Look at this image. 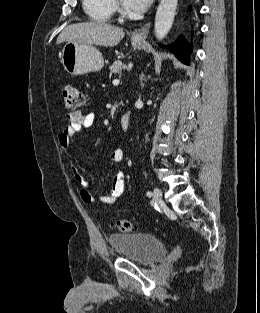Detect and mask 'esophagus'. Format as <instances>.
Wrapping results in <instances>:
<instances>
[{
  "instance_id": "34e87169",
  "label": "esophagus",
  "mask_w": 260,
  "mask_h": 313,
  "mask_svg": "<svg viewBox=\"0 0 260 313\" xmlns=\"http://www.w3.org/2000/svg\"><path fill=\"white\" fill-rule=\"evenodd\" d=\"M150 27L151 22L149 21L141 28L134 30L132 33V38L137 41H145L148 36Z\"/></svg>"
}]
</instances>
